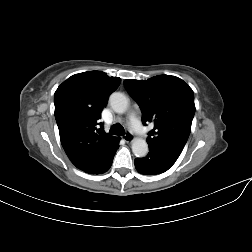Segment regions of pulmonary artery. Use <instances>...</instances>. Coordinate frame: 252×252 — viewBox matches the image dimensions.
Instances as JSON below:
<instances>
[{"label":"pulmonary artery","mask_w":252,"mask_h":252,"mask_svg":"<svg viewBox=\"0 0 252 252\" xmlns=\"http://www.w3.org/2000/svg\"><path fill=\"white\" fill-rule=\"evenodd\" d=\"M130 122H131L133 130L136 133H142V132L146 131L145 128L143 127L141 121L139 120L138 116L135 113H133L130 116Z\"/></svg>","instance_id":"e3ab8cb5"}]
</instances>
